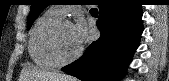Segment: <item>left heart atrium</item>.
Here are the masks:
<instances>
[{"label":"left heart atrium","instance_id":"obj_1","mask_svg":"<svg viewBox=\"0 0 169 81\" xmlns=\"http://www.w3.org/2000/svg\"><path fill=\"white\" fill-rule=\"evenodd\" d=\"M73 34L76 42L81 45L87 37V26L83 19H78L74 25H72Z\"/></svg>","mask_w":169,"mask_h":81}]
</instances>
